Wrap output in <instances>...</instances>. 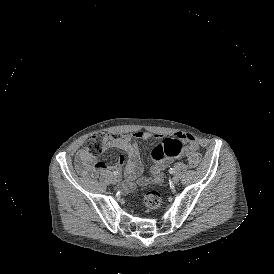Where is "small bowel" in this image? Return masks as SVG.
Masks as SVG:
<instances>
[{"mask_svg":"<svg viewBox=\"0 0 274 274\" xmlns=\"http://www.w3.org/2000/svg\"><path fill=\"white\" fill-rule=\"evenodd\" d=\"M153 136L148 131L137 130L127 135H107L105 137V150L119 149L127 153V157L120 155L116 163V168H120L127 161L125 168L126 181L123 184L125 191H132L135 188V180L140 186H147L150 183H161L163 181V170L180 158L182 151L186 148V143H188V154L190 152H197L199 148L198 141L192 135L185 132L177 134L180 139L169 137L167 141L164 135H155V143L151 150V176L142 177V163L138 143L145 142ZM76 164L79 171L84 175L93 176L109 170L105 162L97 160L95 156L85 149L78 151Z\"/></svg>","mask_w":274,"mask_h":274,"instance_id":"obj_1","label":"small bowel"}]
</instances>
